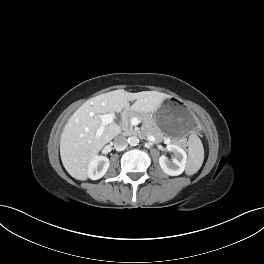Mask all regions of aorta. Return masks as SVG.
I'll use <instances>...</instances> for the list:
<instances>
[{"mask_svg":"<svg viewBox=\"0 0 264 264\" xmlns=\"http://www.w3.org/2000/svg\"><path fill=\"white\" fill-rule=\"evenodd\" d=\"M128 143L131 146H136L139 143V139L137 136H131L128 138Z\"/></svg>","mask_w":264,"mask_h":264,"instance_id":"762f6f07","label":"aorta"}]
</instances>
